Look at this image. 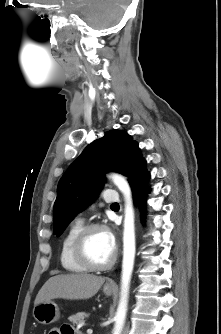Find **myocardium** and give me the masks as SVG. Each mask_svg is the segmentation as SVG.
<instances>
[{
  "instance_id": "obj_1",
  "label": "myocardium",
  "mask_w": 221,
  "mask_h": 334,
  "mask_svg": "<svg viewBox=\"0 0 221 334\" xmlns=\"http://www.w3.org/2000/svg\"><path fill=\"white\" fill-rule=\"evenodd\" d=\"M96 230H104L109 232L108 227L100 223H91L86 226H83L74 240L73 253L76 260L86 269L92 271H103L110 269L114 265L118 256V249L115 246L114 254L107 263L98 264L94 262L88 255L86 245L89 236Z\"/></svg>"
}]
</instances>
